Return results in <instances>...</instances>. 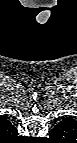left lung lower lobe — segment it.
Wrapping results in <instances>:
<instances>
[{
	"instance_id": "left-lung-lower-lobe-1",
	"label": "left lung lower lobe",
	"mask_w": 77,
	"mask_h": 143,
	"mask_svg": "<svg viewBox=\"0 0 77 143\" xmlns=\"http://www.w3.org/2000/svg\"><path fill=\"white\" fill-rule=\"evenodd\" d=\"M50 137H52V138H57V137H59V135L56 134L55 131H51V132H50Z\"/></svg>"
}]
</instances>
